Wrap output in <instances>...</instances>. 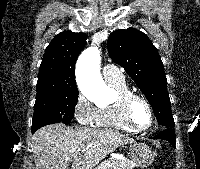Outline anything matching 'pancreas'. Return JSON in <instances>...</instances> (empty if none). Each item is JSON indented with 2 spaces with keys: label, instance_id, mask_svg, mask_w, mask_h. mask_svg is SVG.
I'll return each mask as SVG.
<instances>
[{
  "label": "pancreas",
  "instance_id": "pancreas-1",
  "mask_svg": "<svg viewBox=\"0 0 200 169\" xmlns=\"http://www.w3.org/2000/svg\"><path fill=\"white\" fill-rule=\"evenodd\" d=\"M135 164L127 159L109 158L95 169H133Z\"/></svg>",
  "mask_w": 200,
  "mask_h": 169
}]
</instances>
